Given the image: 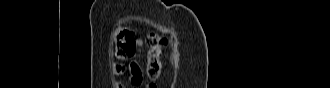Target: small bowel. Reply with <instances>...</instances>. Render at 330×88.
<instances>
[{
    "label": "small bowel",
    "instance_id": "c3829d8e",
    "mask_svg": "<svg viewBox=\"0 0 330 88\" xmlns=\"http://www.w3.org/2000/svg\"><path fill=\"white\" fill-rule=\"evenodd\" d=\"M135 45L137 50H141L142 43L137 38L135 40ZM112 74L114 76L128 74V80L132 85H140L143 78L141 69L136 64H131L129 67L124 64H115L112 68ZM116 87L119 88L121 86L116 84Z\"/></svg>",
    "mask_w": 330,
    "mask_h": 88
}]
</instances>
